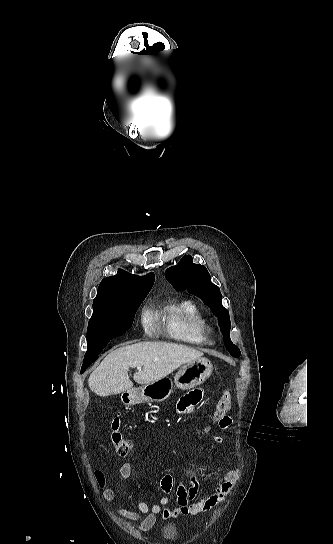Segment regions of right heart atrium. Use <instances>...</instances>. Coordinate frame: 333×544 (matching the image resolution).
<instances>
[{"label":"right heart atrium","mask_w":333,"mask_h":544,"mask_svg":"<svg viewBox=\"0 0 333 544\" xmlns=\"http://www.w3.org/2000/svg\"><path fill=\"white\" fill-rule=\"evenodd\" d=\"M144 322H145V324L148 323V317L147 316L144 317Z\"/></svg>","instance_id":"1"}]
</instances>
